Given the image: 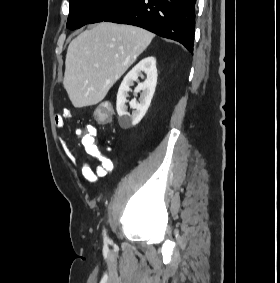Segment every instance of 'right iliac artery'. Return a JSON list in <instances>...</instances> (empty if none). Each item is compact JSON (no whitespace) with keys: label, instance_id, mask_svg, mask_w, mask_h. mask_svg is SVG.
<instances>
[{"label":"right iliac artery","instance_id":"82829eb1","mask_svg":"<svg viewBox=\"0 0 280 283\" xmlns=\"http://www.w3.org/2000/svg\"><path fill=\"white\" fill-rule=\"evenodd\" d=\"M104 241H105V242H109V239H108V237L106 236L105 231H104Z\"/></svg>","mask_w":280,"mask_h":283}]
</instances>
